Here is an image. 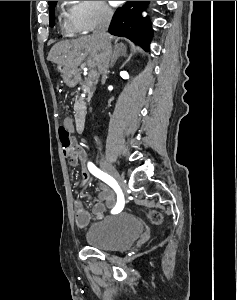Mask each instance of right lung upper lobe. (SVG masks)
Returning a JSON list of instances; mask_svg holds the SVG:
<instances>
[{"label": "right lung upper lobe", "instance_id": "obj_1", "mask_svg": "<svg viewBox=\"0 0 237 300\" xmlns=\"http://www.w3.org/2000/svg\"><path fill=\"white\" fill-rule=\"evenodd\" d=\"M53 1H48V3L50 4V3H52Z\"/></svg>", "mask_w": 237, "mask_h": 300}]
</instances>
